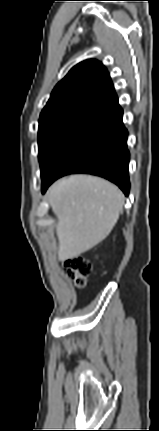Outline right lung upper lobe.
Here are the masks:
<instances>
[{
  "label": "right lung upper lobe",
  "mask_w": 159,
  "mask_h": 431,
  "mask_svg": "<svg viewBox=\"0 0 159 431\" xmlns=\"http://www.w3.org/2000/svg\"><path fill=\"white\" fill-rule=\"evenodd\" d=\"M119 106L106 68L97 60L74 66L55 86L40 119L68 116L91 120Z\"/></svg>",
  "instance_id": "cb5924a9"
}]
</instances>
